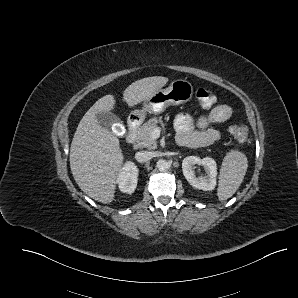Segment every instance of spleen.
Here are the masks:
<instances>
[{
    "instance_id": "spleen-1",
    "label": "spleen",
    "mask_w": 298,
    "mask_h": 298,
    "mask_svg": "<svg viewBox=\"0 0 298 298\" xmlns=\"http://www.w3.org/2000/svg\"><path fill=\"white\" fill-rule=\"evenodd\" d=\"M248 168V160L244 153L231 150L228 152L219 171L217 196L219 201L230 198L240 187Z\"/></svg>"
}]
</instances>
